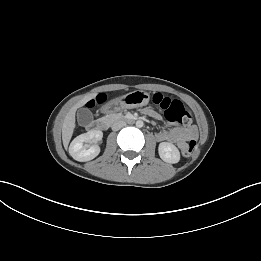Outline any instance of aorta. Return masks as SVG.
I'll list each match as a JSON object with an SVG mask.
<instances>
[{
	"mask_svg": "<svg viewBox=\"0 0 261 261\" xmlns=\"http://www.w3.org/2000/svg\"><path fill=\"white\" fill-rule=\"evenodd\" d=\"M143 125H144V123H143L142 120H138V121L136 122V126H137L138 128L143 127Z\"/></svg>",
	"mask_w": 261,
	"mask_h": 261,
	"instance_id": "1",
	"label": "aorta"
}]
</instances>
